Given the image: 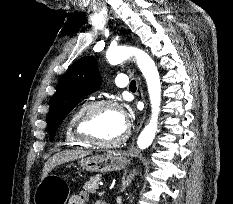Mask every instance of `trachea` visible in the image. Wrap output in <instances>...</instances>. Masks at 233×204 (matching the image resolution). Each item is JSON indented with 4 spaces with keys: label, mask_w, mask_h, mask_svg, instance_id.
<instances>
[{
    "label": "trachea",
    "mask_w": 233,
    "mask_h": 204,
    "mask_svg": "<svg viewBox=\"0 0 233 204\" xmlns=\"http://www.w3.org/2000/svg\"><path fill=\"white\" fill-rule=\"evenodd\" d=\"M129 89H136V82L135 80H132L130 85H129Z\"/></svg>",
    "instance_id": "3493384b"
}]
</instances>
